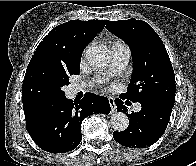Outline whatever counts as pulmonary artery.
I'll use <instances>...</instances> for the list:
<instances>
[{"instance_id":"e3ab8cb5","label":"pulmonary artery","mask_w":196,"mask_h":166,"mask_svg":"<svg viewBox=\"0 0 196 166\" xmlns=\"http://www.w3.org/2000/svg\"><path fill=\"white\" fill-rule=\"evenodd\" d=\"M112 57L111 63L109 66V75H115L121 73L128 64L130 58V50L127 45L123 43H115L112 48ZM85 86L84 85H74L72 86L73 92H77L82 90ZM141 105L136 104L134 106V110L136 112L140 111Z\"/></svg>"}]
</instances>
